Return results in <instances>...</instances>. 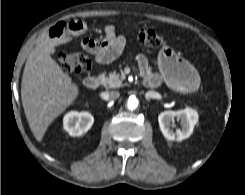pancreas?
Instances as JSON below:
<instances>
[{"label": "pancreas", "mask_w": 245, "mask_h": 195, "mask_svg": "<svg viewBox=\"0 0 245 195\" xmlns=\"http://www.w3.org/2000/svg\"><path fill=\"white\" fill-rule=\"evenodd\" d=\"M102 84L106 88H119L123 86L122 79L119 74L110 73L108 77H104L102 80Z\"/></svg>", "instance_id": "obj_1"}]
</instances>
